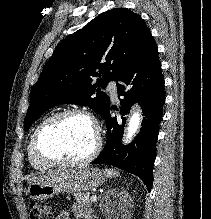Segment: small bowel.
I'll list each match as a JSON object with an SVG mask.
<instances>
[{
	"label": "small bowel",
	"mask_w": 211,
	"mask_h": 219,
	"mask_svg": "<svg viewBox=\"0 0 211 219\" xmlns=\"http://www.w3.org/2000/svg\"><path fill=\"white\" fill-rule=\"evenodd\" d=\"M74 214L77 219H92L91 213L80 207L74 208ZM56 219H69V215L67 212H61Z\"/></svg>",
	"instance_id": "obj_1"
}]
</instances>
